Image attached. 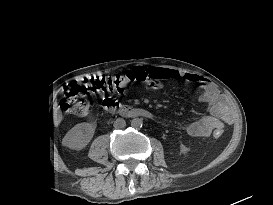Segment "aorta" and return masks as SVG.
I'll use <instances>...</instances> for the list:
<instances>
[{
    "instance_id": "obj_1",
    "label": "aorta",
    "mask_w": 273,
    "mask_h": 205,
    "mask_svg": "<svg viewBox=\"0 0 273 205\" xmlns=\"http://www.w3.org/2000/svg\"><path fill=\"white\" fill-rule=\"evenodd\" d=\"M142 125H143V120L141 118H134L131 121V126L134 129H140V128H142Z\"/></svg>"
}]
</instances>
